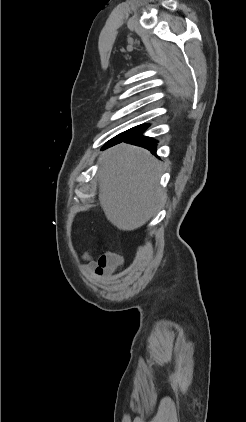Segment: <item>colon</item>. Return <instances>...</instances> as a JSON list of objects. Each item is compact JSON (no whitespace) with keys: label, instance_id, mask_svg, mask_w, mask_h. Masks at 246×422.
Segmentation results:
<instances>
[{"label":"colon","instance_id":"obj_1","mask_svg":"<svg viewBox=\"0 0 246 422\" xmlns=\"http://www.w3.org/2000/svg\"><path fill=\"white\" fill-rule=\"evenodd\" d=\"M122 262L120 255L114 252H105L100 255L95 273L102 276L105 273L114 271Z\"/></svg>","mask_w":246,"mask_h":422}]
</instances>
